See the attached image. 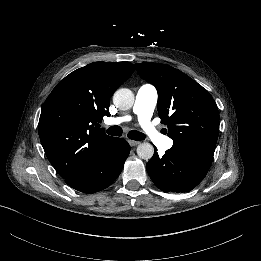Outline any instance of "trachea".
<instances>
[{
  "mask_svg": "<svg viewBox=\"0 0 261 261\" xmlns=\"http://www.w3.org/2000/svg\"><path fill=\"white\" fill-rule=\"evenodd\" d=\"M107 133L112 136H121L123 130L120 126H112L107 130ZM127 137L135 141H140L145 138L143 133L136 130H130L127 134Z\"/></svg>",
  "mask_w": 261,
  "mask_h": 261,
  "instance_id": "3493384b",
  "label": "trachea"
}]
</instances>
